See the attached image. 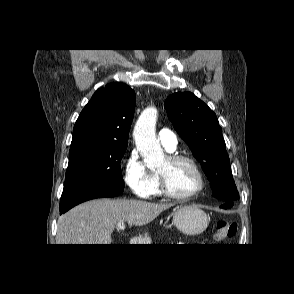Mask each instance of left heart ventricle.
Here are the masks:
<instances>
[{"mask_svg": "<svg viewBox=\"0 0 294 294\" xmlns=\"http://www.w3.org/2000/svg\"><path fill=\"white\" fill-rule=\"evenodd\" d=\"M158 172L166 176L171 190L177 194H189L198 186V177L188 163L171 165L167 159Z\"/></svg>", "mask_w": 294, "mask_h": 294, "instance_id": "1", "label": "left heart ventricle"}]
</instances>
